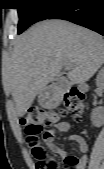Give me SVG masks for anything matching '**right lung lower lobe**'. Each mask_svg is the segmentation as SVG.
I'll return each mask as SVG.
<instances>
[{"label": "right lung lower lobe", "instance_id": "right-lung-lower-lobe-1", "mask_svg": "<svg viewBox=\"0 0 104 169\" xmlns=\"http://www.w3.org/2000/svg\"><path fill=\"white\" fill-rule=\"evenodd\" d=\"M48 19L68 20L104 35V0H74Z\"/></svg>", "mask_w": 104, "mask_h": 169}]
</instances>
